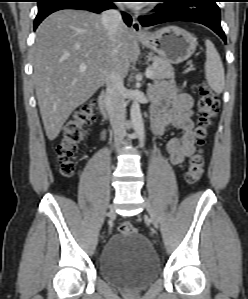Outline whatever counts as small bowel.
I'll use <instances>...</instances> for the list:
<instances>
[{"label": "small bowel", "instance_id": "obj_1", "mask_svg": "<svg viewBox=\"0 0 248 299\" xmlns=\"http://www.w3.org/2000/svg\"><path fill=\"white\" fill-rule=\"evenodd\" d=\"M151 96L154 132L162 135L168 129L183 131L181 137L172 138L167 144L171 163L179 165L195 152L193 99L178 85L166 82L153 86ZM100 137L103 139L104 134Z\"/></svg>", "mask_w": 248, "mask_h": 299}]
</instances>
